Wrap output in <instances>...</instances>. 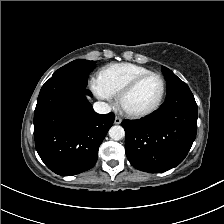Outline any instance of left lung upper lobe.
Returning <instances> with one entry per match:
<instances>
[{
    "label": "left lung upper lobe",
    "instance_id": "obj_1",
    "mask_svg": "<svg viewBox=\"0 0 224 224\" xmlns=\"http://www.w3.org/2000/svg\"><path fill=\"white\" fill-rule=\"evenodd\" d=\"M162 71L167 81V96L173 95L182 89L189 88L188 85L181 81L170 69L163 66Z\"/></svg>",
    "mask_w": 224,
    "mask_h": 224
}]
</instances>
